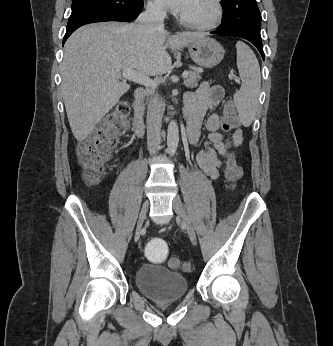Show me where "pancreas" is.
I'll return each mask as SVG.
<instances>
[{"mask_svg":"<svg viewBox=\"0 0 333 346\" xmlns=\"http://www.w3.org/2000/svg\"><path fill=\"white\" fill-rule=\"evenodd\" d=\"M189 77L184 81L187 88H195L198 86L201 75L198 71H189Z\"/></svg>","mask_w":333,"mask_h":346,"instance_id":"pancreas-1","label":"pancreas"}]
</instances>
